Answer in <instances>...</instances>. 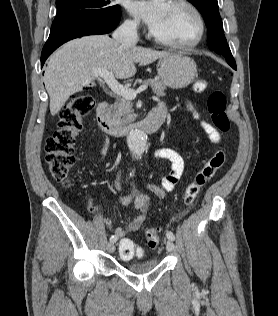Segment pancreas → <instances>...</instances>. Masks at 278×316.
I'll return each mask as SVG.
<instances>
[{
	"mask_svg": "<svg viewBox=\"0 0 278 316\" xmlns=\"http://www.w3.org/2000/svg\"><path fill=\"white\" fill-rule=\"evenodd\" d=\"M143 83L150 85L153 93H155L158 97L165 96L166 86L163 85L159 78L148 79L143 81ZM133 113L134 110L132 102L129 99L121 97L115 101L113 108L108 113V118L114 126L122 127L133 120Z\"/></svg>",
	"mask_w": 278,
	"mask_h": 316,
	"instance_id": "cf45deb5",
	"label": "pancreas"
}]
</instances>
